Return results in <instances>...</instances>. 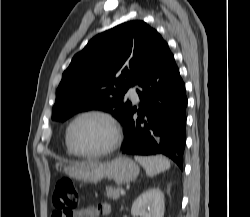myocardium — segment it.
<instances>
[{
  "label": "myocardium",
  "mask_w": 250,
  "mask_h": 217,
  "mask_svg": "<svg viewBox=\"0 0 250 217\" xmlns=\"http://www.w3.org/2000/svg\"><path fill=\"white\" fill-rule=\"evenodd\" d=\"M87 116H96L102 118L110 127L111 131V138L110 142L108 143L107 146H105L103 149L95 151V152H82L78 150L73 141H72V130L74 125L82 118L87 117ZM122 139V131L120 124L118 123L117 119L108 111L99 109V108H91V109H86L80 113H78L73 119L70 121L68 124L67 130H66V141L71 149V151L82 158H99L106 156L113 151H115Z\"/></svg>",
  "instance_id": "f54148a6"
}]
</instances>
